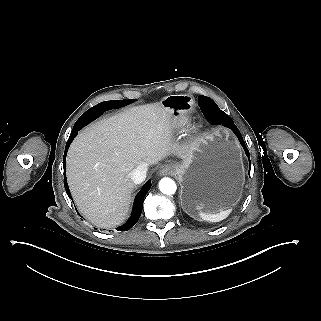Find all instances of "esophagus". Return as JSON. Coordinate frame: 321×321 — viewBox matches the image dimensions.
I'll use <instances>...</instances> for the list:
<instances>
[{
  "mask_svg": "<svg viewBox=\"0 0 321 321\" xmlns=\"http://www.w3.org/2000/svg\"><path fill=\"white\" fill-rule=\"evenodd\" d=\"M174 166H172L171 164H167L162 166L158 171L157 174L158 175H173L174 174Z\"/></svg>",
  "mask_w": 321,
  "mask_h": 321,
  "instance_id": "34e87169",
  "label": "esophagus"
}]
</instances>
